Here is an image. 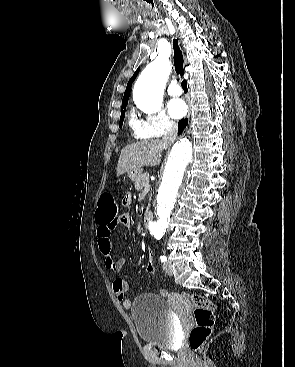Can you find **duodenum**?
I'll return each instance as SVG.
<instances>
[{
	"label": "duodenum",
	"instance_id": "1",
	"mask_svg": "<svg viewBox=\"0 0 295 367\" xmlns=\"http://www.w3.org/2000/svg\"><path fill=\"white\" fill-rule=\"evenodd\" d=\"M153 219V215L151 212H146L144 217H143V226L145 228H148L150 223L152 222Z\"/></svg>",
	"mask_w": 295,
	"mask_h": 367
}]
</instances>
